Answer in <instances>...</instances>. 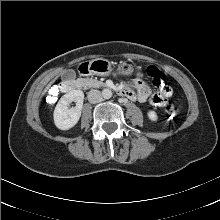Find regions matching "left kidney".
Masks as SVG:
<instances>
[{
  "instance_id": "5707ae66",
  "label": "left kidney",
  "mask_w": 220,
  "mask_h": 220,
  "mask_svg": "<svg viewBox=\"0 0 220 220\" xmlns=\"http://www.w3.org/2000/svg\"><path fill=\"white\" fill-rule=\"evenodd\" d=\"M147 115L151 121H157L158 119L157 113L153 110L148 111Z\"/></svg>"
}]
</instances>
